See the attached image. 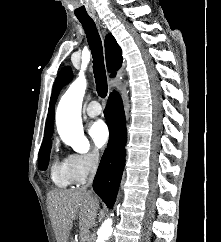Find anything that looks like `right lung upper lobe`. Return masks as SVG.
Masks as SVG:
<instances>
[{"label":"right lung upper lobe","instance_id":"cb5924a9","mask_svg":"<svg viewBox=\"0 0 221 242\" xmlns=\"http://www.w3.org/2000/svg\"><path fill=\"white\" fill-rule=\"evenodd\" d=\"M105 50H106V63L107 69L111 73V76H115V72L122 65V51L112 34H108L105 38ZM72 78V71L70 67H65L59 73L56 82L54 84L53 93L50 99L48 116L45 126L44 139L52 137L53 135V122H54V104L56 102L60 89L67 84Z\"/></svg>","mask_w":221,"mask_h":242}]
</instances>
